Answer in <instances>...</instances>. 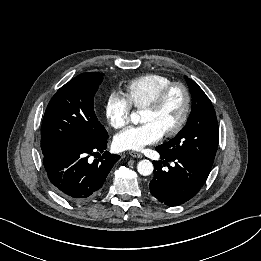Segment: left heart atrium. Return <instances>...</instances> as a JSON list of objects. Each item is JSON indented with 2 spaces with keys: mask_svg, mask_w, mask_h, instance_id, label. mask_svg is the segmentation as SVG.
<instances>
[{
  "mask_svg": "<svg viewBox=\"0 0 261 261\" xmlns=\"http://www.w3.org/2000/svg\"><path fill=\"white\" fill-rule=\"evenodd\" d=\"M163 133L152 123L131 126L115 137L114 143L119 150L139 151L147 145L158 142Z\"/></svg>",
  "mask_w": 261,
  "mask_h": 261,
  "instance_id": "1",
  "label": "left heart atrium"
}]
</instances>
